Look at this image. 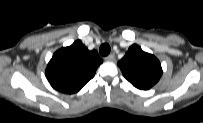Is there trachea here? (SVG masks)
Segmentation results:
<instances>
[{
    "instance_id": "3493384b",
    "label": "trachea",
    "mask_w": 203,
    "mask_h": 123,
    "mask_svg": "<svg viewBox=\"0 0 203 123\" xmlns=\"http://www.w3.org/2000/svg\"><path fill=\"white\" fill-rule=\"evenodd\" d=\"M110 45L107 43H104L100 46L99 52L102 56H107L110 53Z\"/></svg>"
}]
</instances>
